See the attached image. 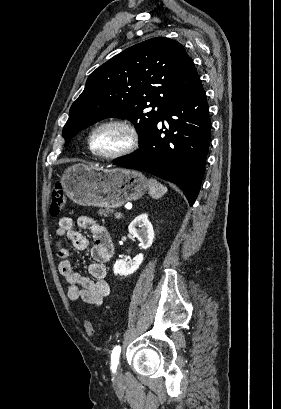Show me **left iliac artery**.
Wrapping results in <instances>:
<instances>
[{"label": "left iliac artery", "mask_w": 281, "mask_h": 409, "mask_svg": "<svg viewBox=\"0 0 281 409\" xmlns=\"http://www.w3.org/2000/svg\"><path fill=\"white\" fill-rule=\"evenodd\" d=\"M121 352V347L119 345L115 346L111 354V369L116 372V368L119 362V356Z\"/></svg>", "instance_id": "1"}]
</instances>
